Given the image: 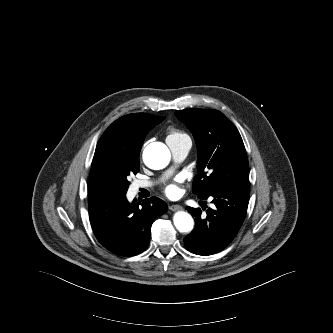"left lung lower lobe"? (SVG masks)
<instances>
[{
    "instance_id": "1",
    "label": "left lung lower lobe",
    "mask_w": 333,
    "mask_h": 333,
    "mask_svg": "<svg viewBox=\"0 0 333 333\" xmlns=\"http://www.w3.org/2000/svg\"><path fill=\"white\" fill-rule=\"evenodd\" d=\"M249 194L250 184H238L199 196L202 200L212 198L215 207L206 210L205 218L201 217V209L186 207L195 217L197 226L184 238L185 247L194 254L204 256L215 254L227 247L244 221Z\"/></svg>"
}]
</instances>
